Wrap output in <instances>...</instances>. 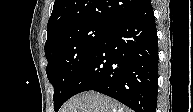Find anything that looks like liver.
<instances>
[{"mask_svg":"<svg viewBox=\"0 0 193 112\" xmlns=\"http://www.w3.org/2000/svg\"><path fill=\"white\" fill-rule=\"evenodd\" d=\"M61 112H131V110L108 96L87 91L69 99Z\"/></svg>","mask_w":193,"mask_h":112,"instance_id":"obj_1","label":"liver"}]
</instances>
